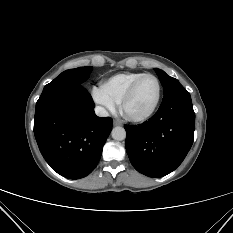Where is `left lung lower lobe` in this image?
<instances>
[{
	"label": "left lung lower lobe",
	"instance_id": "left-lung-lower-lobe-1",
	"mask_svg": "<svg viewBox=\"0 0 233 233\" xmlns=\"http://www.w3.org/2000/svg\"><path fill=\"white\" fill-rule=\"evenodd\" d=\"M126 150L134 168L157 178L174 171L190 150L195 113L190 94L162 100L158 111L139 125H125Z\"/></svg>",
	"mask_w": 233,
	"mask_h": 233
}]
</instances>
